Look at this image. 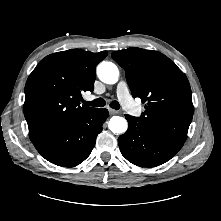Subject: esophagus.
<instances>
[{
    "mask_svg": "<svg viewBox=\"0 0 221 221\" xmlns=\"http://www.w3.org/2000/svg\"><path fill=\"white\" fill-rule=\"evenodd\" d=\"M108 110H109V113L111 115L119 114V111H117V110H114V109H111V108H109Z\"/></svg>",
    "mask_w": 221,
    "mask_h": 221,
    "instance_id": "34e87169",
    "label": "esophagus"
}]
</instances>
